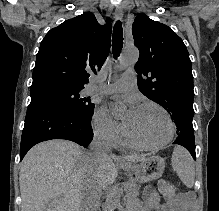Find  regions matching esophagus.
<instances>
[{"mask_svg":"<svg viewBox=\"0 0 219 211\" xmlns=\"http://www.w3.org/2000/svg\"><path fill=\"white\" fill-rule=\"evenodd\" d=\"M122 17H123V9H122V7L118 6L115 9V18L122 19Z\"/></svg>","mask_w":219,"mask_h":211,"instance_id":"esophagus-1","label":"esophagus"}]
</instances>
